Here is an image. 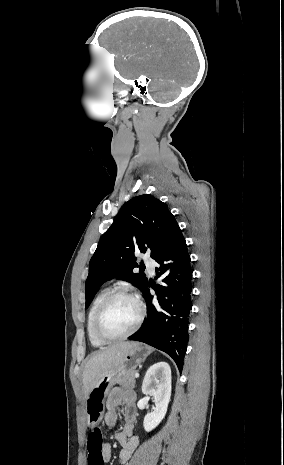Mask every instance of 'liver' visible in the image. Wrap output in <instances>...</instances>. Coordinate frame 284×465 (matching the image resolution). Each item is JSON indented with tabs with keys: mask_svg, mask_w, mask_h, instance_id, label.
<instances>
[{
	"mask_svg": "<svg viewBox=\"0 0 284 465\" xmlns=\"http://www.w3.org/2000/svg\"><path fill=\"white\" fill-rule=\"evenodd\" d=\"M134 345L135 343H117V345H111L96 355H91L82 375L85 399L103 375H107L109 371H113L121 365L126 353H129Z\"/></svg>",
	"mask_w": 284,
	"mask_h": 465,
	"instance_id": "obj_1",
	"label": "liver"
}]
</instances>
